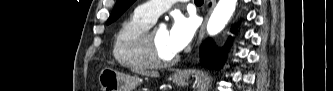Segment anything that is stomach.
I'll return each instance as SVG.
<instances>
[{"instance_id":"obj_1","label":"stomach","mask_w":333,"mask_h":91,"mask_svg":"<svg viewBox=\"0 0 333 91\" xmlns=\"http://www.w3.org/2000/svg\"><path fill=\"white\" fill-rule=\"evenodd\" d=\"M140 81L138 77L123 74L110 67L103 68L98 76L101 91H133ZM173 82L184 86L188 81L186 77H174Z\"/></svg>"}]
</instances>
